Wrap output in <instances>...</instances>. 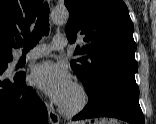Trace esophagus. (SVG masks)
Masks as SVG:
<instances>
[{"label": "esophagus", "mask_w": 156, "mask_h": 124, "mask_svg": "<svg viewBox=\"0 0 156 124\" xmlns=\"http://www.w3.org/2000/svg\"><path fill=\"white\" fill-rule=\"evenodd\" d=\"M49 2H50V0H49ZM48 117H49L51 124H59L60 123V118H59L58 114L50 107H48Z\"/></svg>", "instance_id": "34e87169"}]
</instances>
